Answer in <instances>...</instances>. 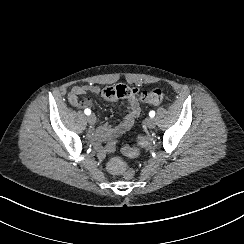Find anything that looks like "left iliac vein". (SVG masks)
<instances>
[{
	"instance_id": "left-iliac-vein-1",
	"label": "left iliac vein",
	"mask_w": 244,
	"mask_h": 244,
	"mask_svg": "<svg viewBox=\"0 0 244 244\" xmlns=\"http://www.w3.org/2000/svg\"><path fill=\"white\" fill-rule=\"evenodd\" d=\"M145 125L149 128V129H153L155 128L156 126V122H155V119L154 118H148L146 121H145Z\"/></svg>"
}]
</instances>
